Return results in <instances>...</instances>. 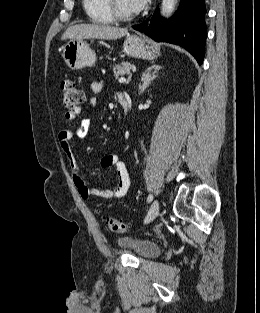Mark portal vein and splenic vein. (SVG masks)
<instances>
[{
	"label": "portal vein and splenic vein",
	"instance_id": "1",
	"mask_svg": "<svg viewBox=\"0 0 260 313\" xmlns=\"http://www.w3.org/2000/svg\"><path fill=\"white\" fill-rule=\"evenodd\" d=\"M118 81H119V83H126L127 82L126 78H123V77L120 78Z\"/></svg>",
	"mask_w": 260,
	"mask_h": 313
}]
</instances>
